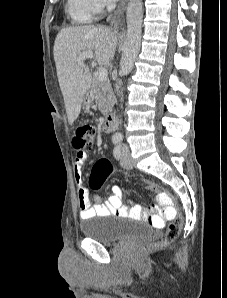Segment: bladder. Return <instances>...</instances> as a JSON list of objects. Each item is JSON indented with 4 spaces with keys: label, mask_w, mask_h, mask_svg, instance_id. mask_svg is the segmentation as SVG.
Instances as JSON below:
<instances>
[{
    "label": "bladder",
    "mask_w": 227,
    "mask_h": 298,
    "mask_svg": "<svg viewBox=\"0 0 227 298\" xmlns=\"http://www.w3.org/2000/svg\"><path fill=\"white\" fill-rule=\"evenodd\" d=\"M80 229L85 237L106 245L147 238L153 233V229L148 224L129 218L84 221Z\"/></svg>",
    "instance_id": "31cf9c89"
}]
</instances>
